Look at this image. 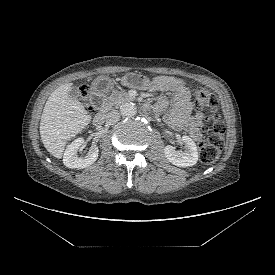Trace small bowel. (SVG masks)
I'll list each match as a JSON object with an SVG mask.
<instances>
[{"mask_svg":"<svg viewBox=\"0 0 275 275\" xmlns=\"http://www.w3.org/2000/svg\"><path fill=\"white\" fill-rule=\"evenodd\" d=\"M124 84L139 87L150 92H170L172 97L159 98L152 106L155 113H162L169 107L165 115L166 122L176 130H184L194 140L202 137L201 128L204 116L201 113L192 114L193 90L190 85L180 78L173 76H159L146 78L134 73L128 74L123 79Z\"/></svg>","mask_w":275,"mask_h":275,"instance_id":"1","label":"small bowel"}]
</instances>
